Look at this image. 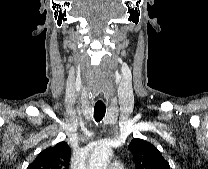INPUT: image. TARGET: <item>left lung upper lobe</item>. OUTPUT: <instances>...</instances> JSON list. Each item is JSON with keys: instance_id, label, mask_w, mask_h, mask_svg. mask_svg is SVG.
<instances>
[{"instance_id": "5c2ea615", "label": "left lung upper lobe", "mask_w": 208, "mask_h": 169, "mask_svg": "<svg viewBox=\"0 0 208 169\" xmlns=\"http://www.w3.org/2000/svg\"><path fill=\"white\" fill-rule=\"evenodd\" d=\"M137 169H170L169 163L151 143L135 138L129 144Z\"/></svg>"}]
</instances>
